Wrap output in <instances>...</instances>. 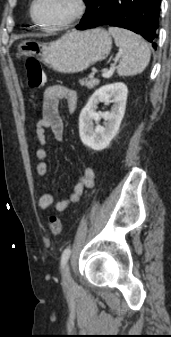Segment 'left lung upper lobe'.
Segmentation results:
<instances>
[{
	"label": "left lung upper lobe",
	"mask_w": 171,
	"mask_h": 337,
	"mask_svg": "<svg viewBox=\"0 0 171 337\" xmlns=\"http://www.w3.org/2000/svg\"><path fill=\"white\" fill-rule=\"evenodd\" d=\"M91 0H84V2L86 3V6H88V4L90 3Z\"/></svg>",
	"instance_id": "1"
}]
</instances>
